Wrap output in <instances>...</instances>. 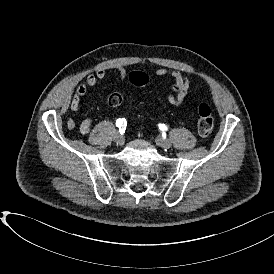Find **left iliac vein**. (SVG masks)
Segmentation results:
<instances>
[{
    "instance_id": "1",
    "label": "left iliac vein",
    "mask_w": 274,
    "mask_h": 274,
    "mask_svg": "<svg viewBox=\"0 0 274 274\" xmlns=\"http://www.w3.org/2000/svg\"><path fill=\"white\" fill-rule=\"evenodd\" d=\"M156 143L157 145H159L160 147L164 149H169L172 146V143L169 139H164L162 137H157Z\"/></svg>"
}]
</instances>
